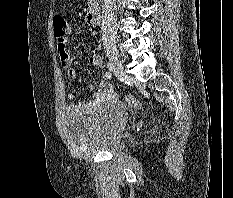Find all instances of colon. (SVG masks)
Listing matches in <instances>:
<instances>
[{
  "instance_id": "5ec220e1",
  "label": "colon",
  "mask_w": 233,
  "mask_h": 198,
  "mask_svg": "<svg viewBox=\"0 0 233 198\" xmlns=\"http://www.w3.org/2000/svg\"><path fill=\"white\" fill-rule=\"evenodd\" d=\"M53 28H54V35L57 40L64 41L65 39L68 38L69 26L66 20L62 16L58 15L53 18ZM124 100L126 104H128L131 107L137 109L142 108L141 102L132 96H125Z\"/></svg>"
}]
</instances>
